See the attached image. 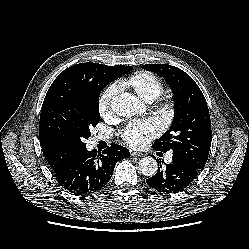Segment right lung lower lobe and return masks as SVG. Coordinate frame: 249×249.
<instances>
[{
  "mask_svg": "<svg viewBox=\"0 0 249 249\" xmlns=\"http://www.w3.org/2000/svg\"><path fill=\"white\" fill-rule=\"evenodd\" d=\"M103 154L88 151L79 152L60 170L54 172L59 185L75 195L86 196L100 191L111 179L116 163L130 157L123 146L112 143Z\"/></svg>",
  "mask_w": 249,
  "mask_h": 249,
  "instance_id": "1",
  "label": "right lung lower lobe"
}]
</instances>
